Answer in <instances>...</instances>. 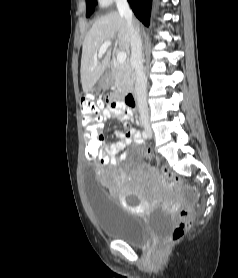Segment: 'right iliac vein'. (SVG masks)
Segmentation results:
<instances>
[{"label":"right iliac vein","mask_w":238,"mask_h":278,"mask_svg":"<svg viewBox=\"0 0 238 278\" xmlns=\"http://www.w3.org/2000/svg\"><path fill=\"white\" fill-rule=\"evenodd\" d=\"M146 131H147V133L149 134V135H152V131H151V129H150V127H146Z\"/></svg>","instance_id":"right-iliac-vein-1"}]
</instances>
